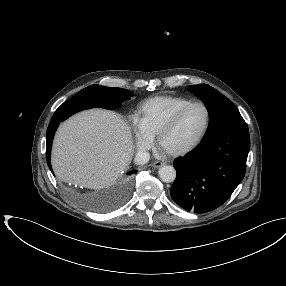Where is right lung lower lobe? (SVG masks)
<instances>
[{"mask_svg":"<svg viewBox=\"0 0 286 286\" xmlns=\"http://www.w3.org/2000/svg\"><path fill=\"white\" fill-rule=\"evenodd\" d=\"M62 121L60 118L52 117V120L48 126L47 129V136H46V159H47V164L49 168L51 169V163H50V151H51V145H52V140L55 134V131L60 123ZM136 171H130L128 174H134Z\"/></svg>","mask_w":286,"mask_h":286,"instance_id":"98d812e1","label":"right lung lower lobe"}]
</instances>
